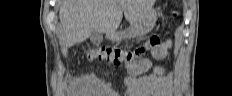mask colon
Masks as SVG:
<instances>
[{
	"instance_id": "5ec220e1",
	"label": "colon",
	"mask_w": 232,
	"mask_h": 96,
	"mask_svg": "<svg viewBox=\"0 0 232 96\" xmlns=\"http://www.w3.org/2000/svg\"><path fill=\"white\" fill-rule=\"evenodd\" d=\"M163 43L161 42V37L159 35L152 36L149 40V47H152L154 50V54L156 57L161 58L164 57L166 54V50L162 48ZM140 50L136 51H122L119 49L107 48L102 47L97 50L88 51L89 54L97 55L107 59L108 61L118 63L121 61H131L134 55H138Z\"/></svg>"
}]
</instances>
